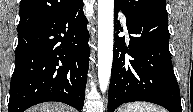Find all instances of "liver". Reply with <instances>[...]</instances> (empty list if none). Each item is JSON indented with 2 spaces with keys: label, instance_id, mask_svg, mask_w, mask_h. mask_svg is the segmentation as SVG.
<instances>
[{
  "label": "liver",
  "instance_id": "1",
  "mask_svg": "<svg viewBox=\"0 0 193 112\" xmlns=\"http://www.w3.org/2000/svg\"><path fill=\"white\" fill-rule=\"evenodd\" d=\"M72 109L60 103H44L28 109L27 112H71Z\"/></svg>",
  "mask_w": 193,
  "mask_h": 112
}]
</instances>
